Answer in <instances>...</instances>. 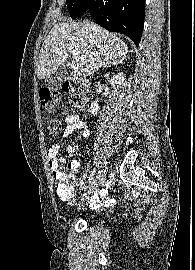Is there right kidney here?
<instances>
[{"label":"right kidney","instance_id":"right-kidney-1","mask_svg":"<svg viewBox=\"0 0 195 270\" xmlns=\"http://www.w3.org/2000/svg\"><path fill=\"white\" fill-rule=\"evenodd\" d=\"M125 80V75L123 72L118 73L116 75H114L111 79H110V83L117 88H119L122 84V82ZM92 115H96L99 111V106L97 101H94L91 103L90 108L88 110Z\"/></svg>","mask_w":195,"mask_h":270}]
</instances>
